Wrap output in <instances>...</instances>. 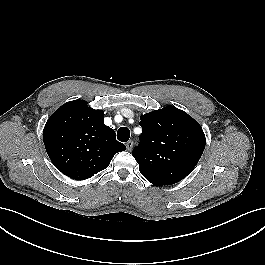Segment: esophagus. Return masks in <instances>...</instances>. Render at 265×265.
Segmentation results:
<instances>
[{
    "label": "esophagus",
    "mask_w": 265,
    "mask_h": 265,
    "mask_svg": "<svg viewBox=\"0 0 265 265\" xmlns=\"http://www.w3.org/2000/svg\"><path fill=\"white\" fill-rule=\"evenodd\" d=\"M133 147V141L129 140L128 142H126V148L128 151H130Z\"/></svg>",
    "instance_id": "34e87169"
}]
</instances>
